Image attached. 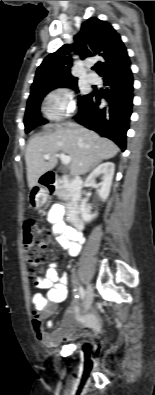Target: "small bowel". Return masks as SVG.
Returning a JSON list of instances; mask_svg holds the SVG:
<instances>
[{
  "label": "small bowel",
  "instance_id": "small-bowel-1",
  "mask_svg": "<svg viewBox=\"0 0 155 395\" xmlns=\"http://www.w3.org/2000/svg\"><path fill=\"white\" fill-rule=\"evenodd\" d=\"M64 210L60 205L52 206L47 212V221L52 225L53 233L60 246L68 251L71 256H78L84 238L82 234L63 222ZM68 276L58 275L56 264H52L46 274L41 279H32L31 289L36 293L32 298L34 305L32 316V328L36 338L46 347H56L65 341L77 337L81 328H88L92 332H97L100 328L99 320L94 314L80 315L76 305L70 306L62 320V324L53 333L48 329L52 328L51 321L45 323L44 320L55 310V305L63 303L68 296ZM77 322L71 325L72 321ZM90 331L82 332V336L89 338Z\"/></svg>",
  "mask_w": 155,
  "mask_h": 395
}]
</instances>
